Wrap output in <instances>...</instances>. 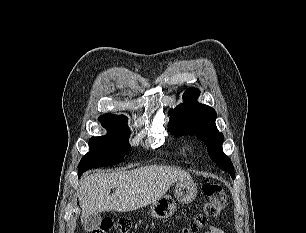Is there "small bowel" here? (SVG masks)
Masks as SVG:
<instances>
[{"label":"small bowel","mask_w":306,"mask_h":233,"mask_svg":"<svg viewBox=\"0 0 306 233\" xmlns=\"http://www.w3.org/2000/svg\"><path fill=\"white\" fill-rule=\"evenodd\" d=\"M204 233H224V231L217 228V227L210 226V228L207 231H205Z\"/></svg>","instance_id":"small-bowel-1"}]
</instances>
